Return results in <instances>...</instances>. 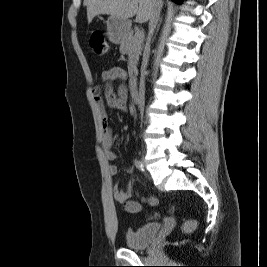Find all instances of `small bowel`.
Instances as JSON below:
<instances>
[{
    "label": "small bowel",
    "mask_w": 267,
    "mask_h": 267,
    "mask_svg": "<svg viewBox=\"0 0 267 267\" xmlns=\"http://www.w3.org/2000/svg\"><path fill=\"white\" fill-rule=\"evenodd\" d=\"M126 79V72L122 68L113 67L106 69L101 74V80L103 86H96L93 88V98L97 104L99 115L102 123V145L104 154L107 160L115 161L117 154L114 151V135L109 125V117L106 111V106L113 110H119L126 112L128 110L127 93L126 88L123 84H120L117 88L113 86L115 80L124 81ZM103 96L105 98L106 106L103 102ZM128 173H132L133 169L129 168ZM109 173L115 176L118 173L116 165L111 164L109 166ZM113 197L114 199L124 204L125 210L128 213H139L142 210V205L138 201L129 200L130 197V186L121 188L118 184L113 186ZM142 201L150 206H156L159 202L156 195L150 194L146 197H142Z\"/></svg>",
    "instance_id": "1"
}]
</instances>
